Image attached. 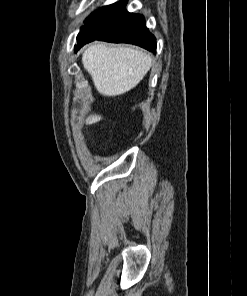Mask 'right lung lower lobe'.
Masks as SVG:
<instances>
[{
	"label": "right lung lower lobe",
	"mask_w": 247,
	"mask_h": 296,
	"mask_svg": "<svg viewBox=\"0 0 247 296\" xmlns=\"http://www.w3.org/2000/svg\"><path fill=\"white\" fill-rule=\"evenodd\" d=\"M126 3L127 0H123L107 6L97 19L87 25V36L75 46V51L91 41L103 40L134 44L156 53V38L147 29L144 17L127 12Z\"/></svg>",
	"instance_id": "obj_1"
}]
</instances>
